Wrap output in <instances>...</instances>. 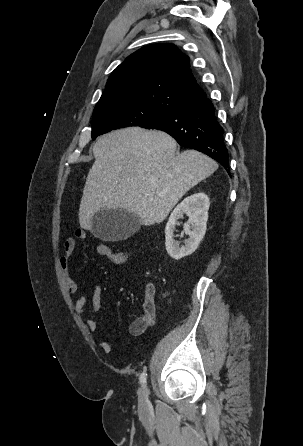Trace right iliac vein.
<instances>
[{
    "mask_svg": "<svg viewBox=\"0 0 303 446\" xmlns=\"http://www.w3.org/2000/svg\"><path fill=\"white\" fill-rule=\"evenodd\" d=\"M148 396H149V389L147 386H144L140 392H139V406L141 411H146L148 409Z\"/></svg>",
    "mask_w": 303,
    "mask_h": 446,
    "instance_id": "1",
    "label": "right iliac vein"
}]
</instances>
